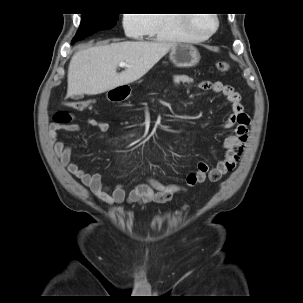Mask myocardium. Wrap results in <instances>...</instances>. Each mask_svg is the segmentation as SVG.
I'll return each instance as SVG.
<instances>
[{
	"mask_svg": "<svg viewBox=\"0 0 303 303\" xmlns=\"http://www.w3.org/2000/svg\"><path fill=\"white\" fill-rule=\"evenodd\" d=\"M183 15L185 16L186 27L189 30V32L191 33V39H194V40L208 39L216 33V31L219 27V17H218V15L210 14L211 17L213 18V21H214V27L212 28V30L209 31L208 33H205V34L197 33L192 28V24L195 20V17L193 15H190V14H183Z\"/></svg>",
	"mask_w": 303,
	"mask_h": 303,
	"instance_id": "1",
	"label": "myocardium"
}]
</instances>
